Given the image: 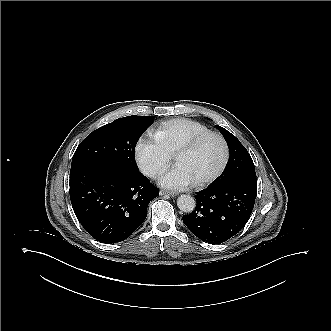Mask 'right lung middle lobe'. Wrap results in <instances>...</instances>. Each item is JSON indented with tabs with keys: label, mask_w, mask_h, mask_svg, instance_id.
<instances>
[{
	"label": "right lung middle lobe",
	"mask_w": 331,
	"mask_h": 331,
	"mask_svg": "<svg viewBox=\"0 0 331 331\" xmlns=\"http://www.w3.org/2000/svg\"><path fill=\"white\" fill-rule=\"evenodd\" d=\"M152 122V116L134 115L116 119L93 131L77 147L70 172L94 165L111 166L129 176L139 174L135 145Z\"/></svg>",
	"instance_id": "dd1d6c3e"
}]
</instances>
